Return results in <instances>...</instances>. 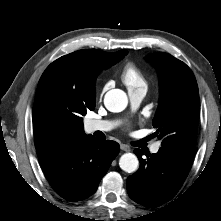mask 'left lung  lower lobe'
I'll return each mask as SVG.
<instances>
[{"mask_svg": "<svg viewBox=\"0 0 221 221\" xmlns=\"http://www.w3.org/2000/svg\"><path fill=\"white\" fill-rule=\"evenodd\" d=\"M140 168L127 179V191L132 200L158 207L175 196L184 183L193 162V155L172 147H161L156 154L134 150Z\"/></svg>", "mask_w": 221, "mask_h": 221, "instance_id": "left-lung-lower-lobe-1", "label": "left lung lower lobe"}]
</instances>
